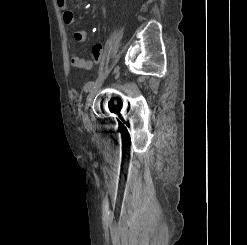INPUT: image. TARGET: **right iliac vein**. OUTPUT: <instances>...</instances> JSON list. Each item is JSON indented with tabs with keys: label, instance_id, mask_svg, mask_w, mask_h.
Segmentation results:
<instances>
[{
	"label": "right iliac vein",
	"instance_id": "obj_1",
	"mask_svg": "<svg viewBox=\"0 0 247 245\" xmlns=\"http://www.w3.org/2000/svg\"><path fill=\"white\" fill-rule=\"evenodd\" d=\"M101 84H102V82L97 87L93 86V88L90 90V92H89V94L87 96L86 105H85V112L83 114V122L87 126L90 124V120H89L88 114L86 113V110L88 109V107L90 106L93 98L95 97V95L99 91V88H100Z\"/></svg>",
	"mask_w": 247,
	"mask_h": 245
}]
</instances>
